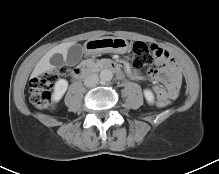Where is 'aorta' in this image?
I'll list each match as a JSON object with an SVG mask.
<instances>
[{
	"mask_svg": "<svg viewBox=\"0 0 219 174\" xmlns=\"http://www.w3.org/2000/svg\"><path fill=\"white\" fill-rule=\"evenodd\" d=\"M113 78V72L109 69H104L100 72V79L103 82H108Z\"/></svg>",
	"mask_w": 219,
	"mask_h": 174,
	"instance_id": "1",
	"label": "aorta"
}]
</instances>
